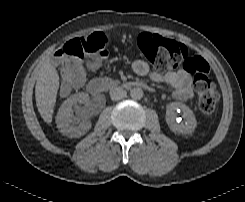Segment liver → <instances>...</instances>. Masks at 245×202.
<instances>
[{
  "label": "liver",
  "instance_id": "6515ba94",
  "mask_svg": "<svg viewBox=\"0 0 245 202\" xmlns=\"http://www.w3.org/2000/svg\"><path fill=\"white\" fill-rule=\"evenodd\" d=\"M59 89V75L50 62L41 67L35 88L36 106L43 120L50 124Z\"/></svg>",
  "mask_w": 245,
  "mask_h": 202
}]
</instances>
